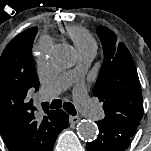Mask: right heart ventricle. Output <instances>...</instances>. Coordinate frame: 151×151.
<instances>
[{
	"label": "right heart ventricle",
	"instance_id": "e07e8e85",
	"mask_svg": "<svg viewBox=\"0 0 151 151\" xmlns=\"http://www.w3.org/2000/svg\"><path fill=\"white\" fill-rule=\"evenodd\" d=\"M64 33L72 40L79 54L96 51V41L86 29L79 26H68Z\"/></svg>",
	"mask_w": 151,
	"mask_h": 151
}]
</instances>
